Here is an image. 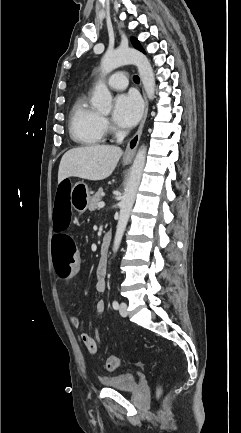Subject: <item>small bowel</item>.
<instances>
[{
	"label": "small bowel",
	"mask_w": 241,
	"mask_h": 433,
	"mask_svg": "<svg viewBox=\"0 0 241 433\" xmlns=\"http://www.w3.org/2000/svg\"><path fill=\"white\" fill-rule=\"evenodd\" d=\"M57 234H58V231H57ZM106 273H107V262H106V260L101 259L98 262L97 268H96L97 280H96V284H95V288H96L97 292H99V293L105 292V290L107 288ZM96 311L99 314H101L105 311V301L104 300H102V299L98 300V302L96 303ZM70 322L74 328L80 327V320L78 317L72 316L70 318ZM81 340L84 343V345L86 346L89 353H91V354L97 353L98 344L89 334L82 333L81 334Z\"/></svg>",
	"instance_id": "c3829d8e"
}]
</instances>
